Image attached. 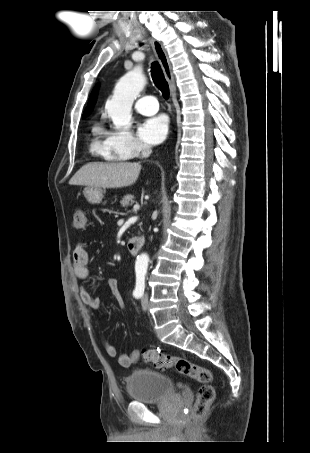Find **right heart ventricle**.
<instances>
[{
    "label": "right heart ventricle",
    "instance_id": "obj_1",
    "mask_svg": "<svg viewBox=\"0 0 310 453\" xmlns=\"http://www.w3.org/2000/svg\"><path fill=\"white\" fill-rule=\"evenodd\" d=\"M90 151L97 157L106 161L116 162L124 160L123 157L112 152L107 144L106 134L99 124L92 127V138L90 142Z\"/></svg>",
    "mask_w": 310,
    "mask_h": 453
}]
</instances>
